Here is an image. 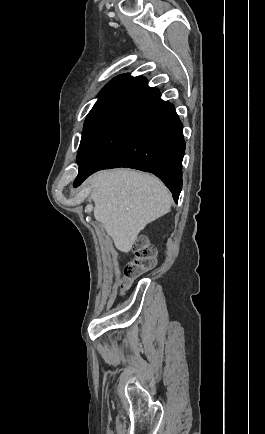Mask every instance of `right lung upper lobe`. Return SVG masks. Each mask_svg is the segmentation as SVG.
I'll return each mask as SVG.
<instances>
[{
  "instance_id": "cb5924a9",
  "label": "right lung upper lobe",
  "mask_w": 265,
  "mask_h": 434,
  "mask_svg": "<svg viewBox=\"0 0 265 434\" xmlns=\"http://www.w3.org/2000/svg\"><path fill=\"white\" fill-rule=\"evenodd\" d=\"M119 76H129V74H122V75H119ZM119 76H118V77H119Z\"/></svg>"
}]
</instances>
